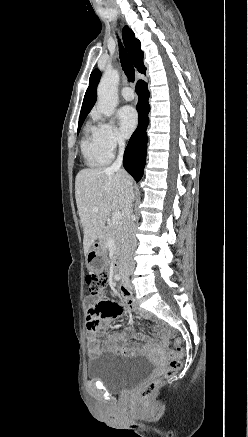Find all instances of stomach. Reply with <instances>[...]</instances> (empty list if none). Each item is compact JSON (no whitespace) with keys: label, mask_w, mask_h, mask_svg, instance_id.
Returning a JSON list of instances; mask_svg holds the SVG:
<instances>
[{"label":"stomach","mask_w":248,"mask_h":437,"mask_svg":"<svg viewBox=\"0 0 248 437\" xmlns=\"http://www.w3.org/2000/svg\"><path fill=\"white\" fill-rule=\"evenodd\" d=\"M86 265L89 272H106L107 260L103 250L94 249L86 256Z\"/></svg>","instance_id":"1"}]
</instances>
